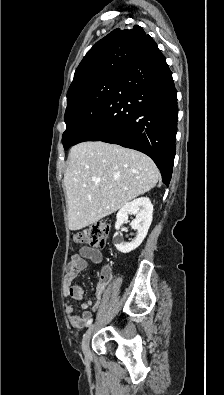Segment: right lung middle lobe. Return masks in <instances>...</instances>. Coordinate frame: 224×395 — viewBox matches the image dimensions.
Returning a JSON list of instances; mask_svg holds the SVG:
<instances>
[{
	"instance_id": "dd1d6c3e",
	"label": "right lung middle lobe",
	"mask_w": 224,
	"mask_h": 395,
	"mask_svg": "<svg viewBox=\"0 0 224 395\" xmlns=\"http://www.w3.org/2000/svg\"><path fill=\"white\" fill-rule=\"evenodd\" d=\"M121 75L101 78L67 95L66 131L62 136L64 149L75 145L93 118L104 107L116 89Z\"/></svg>"
}]
</instances>
